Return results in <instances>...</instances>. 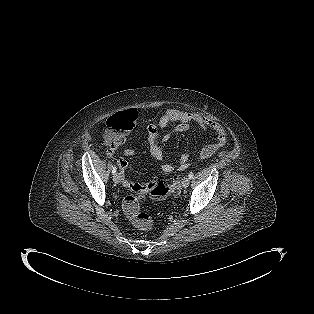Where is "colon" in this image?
<instances>
[{"label": "colon", "mask_w": 314, "mask_h": 314, "mask_svg": "<svg viewBox=\"0 0 314 314\" xmlns=\"http://www.w3.org/2000/svg\"><path fill=\"white\" fill-rule=\"evenodd\" d=\"M137 120L136 110L130 108L118 112L111 116L105 125L104 138L107 143H113L120 140L127 132L135 127ZM180 177L176 176L172 185L169 187L163 181L152 177L148 183L138 184L129 183V188L133 194L124 198L122 208L125 216L130 223L137 229L147 231L153 226V218L147 213L140 211V203L146 197L163 199L171 191L178 188Z\"/></svg>", "instance_id": "colon-1"}]
</instances>
